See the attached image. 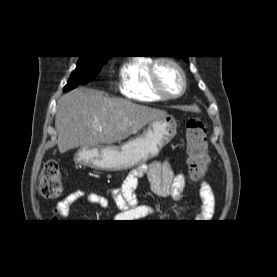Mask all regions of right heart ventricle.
<instances>
[{
  "instance_id": "1",
  "label": "right heart ventricle",
  "mask_w": 277,
  "mask_h": 277,
  "mask_svg": "<svg viewBox=\"0 0 277 277\" xmlns=\"http://www.w3.org/2000/svg\"><path fill=\"white\" fill-rule=\"evenodd\" d=\"M149 58L129 59L120 69V91L131 99L142 102H158L164 99L152 88Z\"/></svg>"
}]
</instances>
